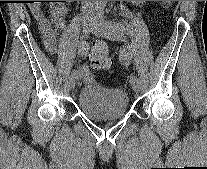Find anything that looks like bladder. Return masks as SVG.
<instances>
[{
    "mask_svg": "<svg viewBox=\"0 0 207 169\" xmlns=\"http://www.w3.org/2000/svg\"><path fill=\"white\" fill-rule=\"evenodd\" d=\"M78 107L95 121L118 120L129 110V97L119 88L88 84L79 92Z\"/></svg>",
    "mask_w": 207,
    "mask_h": 169,
    "instance_id": "31cf9c89",
    "label": "bladder"
}]
</instances>
